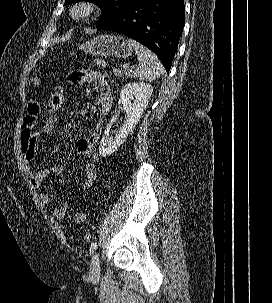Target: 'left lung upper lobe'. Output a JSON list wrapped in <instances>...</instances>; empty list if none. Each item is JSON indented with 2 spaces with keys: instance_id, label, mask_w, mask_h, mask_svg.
Instances as JSON below:
<instances>
[{
  "instance_id": "obj_1",
  "label": "left lung upper lobe",
  "mask_w": 272,
  "mask_h": 303,
  "mask_svg": "<svg viewBox=\"0 0 272 303\" xmlns=\"http://www.w3.org/2000/svg\"><path fill=\"white\" fill-rule=\"evenodd\" d=\"M82 0H66L65 5L76 3ZM96 3L100 6L102 14L97 23V27L101 26L108 20H111L115 16L121 14L126 9L135 4L138 0H87Z\"/></svg>"
}]
</instances>
